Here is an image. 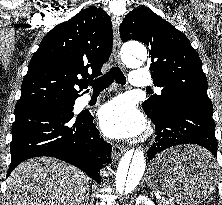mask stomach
<instances>
[{
  "label": "stomach",
  "mask_w": 222,
  "mask_h": 205,
  "mask_svg": "<svg viewBox=\"0 0 222 205\" xmlns=\"http://www.w3.org/2000/svg\"><path fill=\"white\" fill-rule=\"evenodd\" d=\"M208 152L197 146L173 148L157 155L148 166L147 184L180 205H198L213 191L217 172L198 157Z\"/></svg>",
  "instance_id": "obj_1"
}]
</instances>
